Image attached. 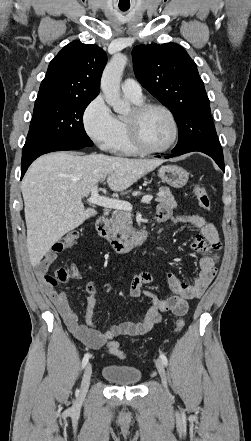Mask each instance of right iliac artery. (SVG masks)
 Returning <instances> with one entry per match:
<instances>
[{
    "label": "right iliac artery",
    "mask_w": 251,
    "mask_h": 441,
    "mask_svg": "<svg viewBox=\"0 0 251 441\" xmlns=\"http://www.w3.org/2000/svg\"><path fill=\"white\" fill-rule=\"evenodd\" d=\"M89 358H90V354L86 353L82 360V369L87 365Z\"/></svg>",
    "instance_id": "82829eb1"
}]
</instances>
